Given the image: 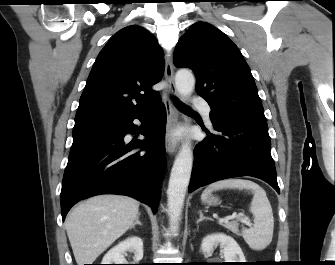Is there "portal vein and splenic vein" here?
I'll return each instance as SVG.
<instances>
[{
	"mask_svg": "<svg viewBox=\"0 0 335 265\" xmlns=\"http://www.w3.org/2000/svg\"><path fill=\"white\" fill-rule=\"evenodd\" d=\"M235 218L238 219L240 222L246 224V225H251L250 220L248 218H240L236 214H232L231 216H227L222 221L224 223H228L229 220H232V219H235Z\"/></svg>",
	"mask_w": 335,
	"mask_h": 265,
	"instance_id": "obj_1",
	"label": "portal vein and splenic vein"
}]
</instances>
